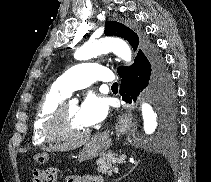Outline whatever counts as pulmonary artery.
Here are the masks:
<instances>
[{"label": "pulmonary artery", "mask_w": 211, "mask_h": 182, "mask_svg": "<svg viewBox=\"0 0 211 182\" xmlns=\"http://www.w3.org/2000/svg\"><path fill=\"white\" fill-rule=\"evenodd\" d=\"M97 80L115 82L112 71L96 63H81L63 73L54 83V87L66 96L75 90L90 86Z\"/></svg>", "instance_id": "obj_1"}]
</instances>
